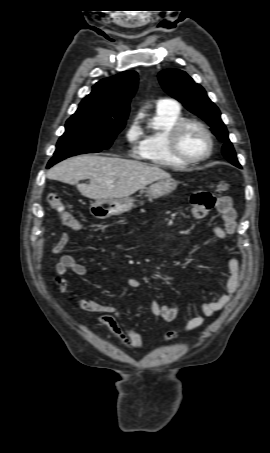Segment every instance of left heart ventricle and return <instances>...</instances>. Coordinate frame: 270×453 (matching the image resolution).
<instances>
[{"mask_svg": "<svg viewBox=\"0 0 270 453\" xmlns=\"http://www.w3.org/2000/svg\"><path fill=\"white\" fill-rule=\"evenodd\" d=\"M179 147L184 155L196 158L206 153L208 141L198 127L188 126L180 136Z\"/></svg>", "mask_w": 270, "mask_h": 453, "instance_id": "obj_1", "label": "left heart ventricle"}]
</instances>
